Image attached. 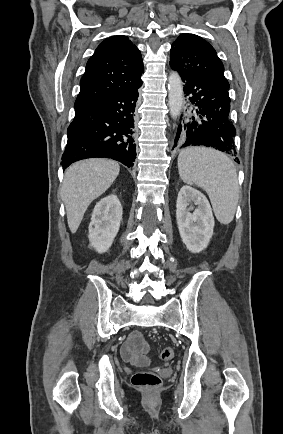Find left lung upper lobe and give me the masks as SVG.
<instances>
[{"label": "left lung upper lobe", "mask_w": 283, "mask_h": 434, "mask_svg": "<svg viewBox=\"0 0 283 434\" xmlns=\"http://www.w3.org/2000/svg\"><path fill=\"white\" fill-rule=\"evenodd\" d=\"M170 63L229 90L223 63L215 49L195 34H181L173 42Z\"/></svg>", "instance_id": "left-lung-upper-lobe-1"}]
</instances>
